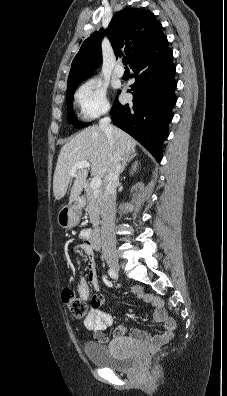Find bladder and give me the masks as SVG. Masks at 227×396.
I'll list each match as a JSON object with an SVG mask.
<instances>
[{"instance_id": "obj_1", "label": "bladder", "mask_w": 227, "mask_h": 396, "mask_svg": "<svg viewBox=\"0 0 227 396\" xmlns=\"http://www.w3.org/2000/svg\"><path fill=\"white\" fill-rule=\"evenodd\" d=\"M84 352L91 364L114 372H128L137 364V356L123 351L118 345L88 342L84 346Z\"/></svg>"}]
</instances>
